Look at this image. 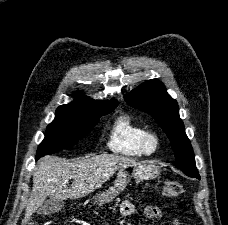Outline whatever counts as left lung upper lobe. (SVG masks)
<instances>
[{
    "label": "left lung upper lobe",
    "mask_w": 228,
    "mask_h": 225,
    "mask_svg": "<svg viewBox=\"0 0 228 225\" xmlns=\"http://www.w3.org/2000/svg\"><path fill=\"white\" fill-rule=\"evenodd\" d=\"M125 100L130 106L149 113L165 131L175 153V166L186 175L200 179L191 143L179 117L178 104L166 92L163 83L156 79L148 80Z\"/></svg>",
    "instance_id": "left-lung-upper-lobe-1"
}]
</instances>
